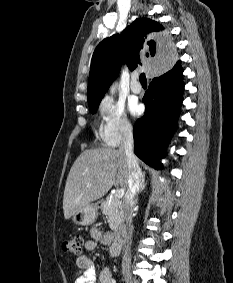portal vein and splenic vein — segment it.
<instances>
[{
    "label": "portal vein and splenic vein",
    "instance_id": "portal-vein-and-splenic-vein-1",
    "mask_svg": "<svg viewBox=\"0 0 233 283\" xmlns=\"http://www.w3.org/2000/svg\"><path fill=\"white\" fill-rule=\"evenodd\" d=\"M124 189H117V191H116V194H115V196L118 198V199H120V198H122L123 197V195H124Z\"/></svg>",
    "mask_w": 233,
    "mask_h": 283
}]
</instances>
